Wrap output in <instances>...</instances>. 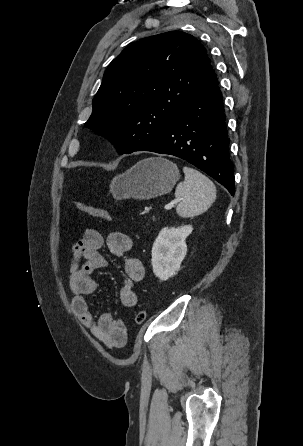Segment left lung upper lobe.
<instances>
[{"label": "left lung upper lobe", "instance_id": "left-lung-upper-lobe-1", "mask_svg": "<svg viewBox=\"0 0 303 446\" xmlns=\"http://www.w3.org/2000/svg\"><path fill=\"white\" fill-rule=\"evenodd\" d=\"M206 49L192 35L170 31L125 48L106 69L85 126L120 154L154 140L214 76Z\"/></svg>", "mask_w": 303, "mask_h": 446}]
</instances>
